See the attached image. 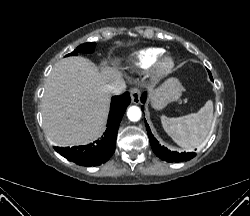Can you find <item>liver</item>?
Returning a JSON list of instances; mask_svg holds the SVG:
<instances>
[{
    "label": "liver",
    "instance_id": "liver-1",
    "mask_svg": "<svg viewBox=\"0 0 250 216\" xmlns=\"http://www.w3.org/2000/svg\"><path fill=\"white\" fill-rule=\"evenodd\" d=\"M123 81L122 73L101 72L83 57L57 62L46 80L42 99L44 130L57 146L91 142L102 132L110 107L107 86Z\"/></svg>",
    "mask_w": 250,
    "mask_h": 216
}]
</instances>
